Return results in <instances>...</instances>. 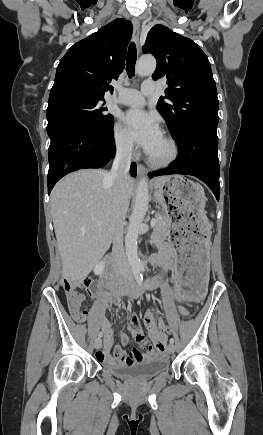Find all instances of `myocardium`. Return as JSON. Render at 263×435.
I'll return each mask as SVG.
<instances>
[{
    "mask_svg": "<svg viewBox=\"0 0 263 435\" xmlns=\"http://www.w3.org/2000/svg\"><path fill=\"white\" fill-rule=\"evenodd\" d=\"M164 139L169 143L171 148L170 155L162 160L155 159L151 154H148V162L154 168H165L173 164L179 157V147L176 140L168 134H165Z\"/></svg>",
    "mask_w": 263,
    "mask_h": 435,
    "instance_id": "obj_1",
    "label": "myocardium"
}]
</instances>
